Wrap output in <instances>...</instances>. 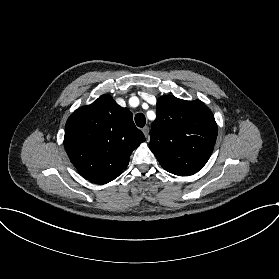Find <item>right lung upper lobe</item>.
Here are the masks:
<instances>
[{
	"instance_id": "cb5924a9",
	"label": "right lung upper lobe",
	"mask_w": 279,
	"mask_h": 279,
	"mask_svg": "<svg viewBox=\"0 0 279 279\" xmlns=\"http://www.w3.org/2000/svg\"><path fill=\"white\" fill-rule=\"evenodd\" d=\"M145 141L132 113L110 95L77 109L67 120L64 146L79 174L105 184L126 169L134 149Z\"/></svg>"
}]
</instances>
